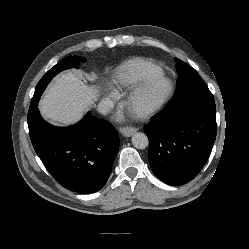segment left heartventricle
Here are the masks:
<instances>
[{
    "mask_svg": "<svg viewBox=\"0 0 249 249\" xmlns=\"http://www.w3.org/2000/svg\"><path fill=\"white\" fill-rule=\"evenodd\" d=\"M161 90H162L161 87L155 88V89L150 93L149 97H150V98H155V97H157V96L160 94Z\"/></svg>",
    "mask_w": 249,
    "mask_h": 249,
    "instance_id": "b2bd125f",
    "label": "left heart ventricle"
}]
</instances>
